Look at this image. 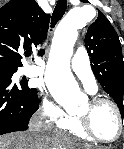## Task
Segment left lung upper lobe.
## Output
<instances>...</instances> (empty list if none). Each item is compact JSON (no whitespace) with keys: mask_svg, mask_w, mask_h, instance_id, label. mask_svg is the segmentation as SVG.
Segmentation results:
<instances>
[{"mask_svg":"<svg viewBox=\"0 0 124 149\" xmlns=\"http://www.w3.org/2000/svg\"><path fill=\"white\" fill-rule=\"evenodd\" d=\"M85 46L92 71L102 88L113 98L123 117L124 61L119 37L102 12L88 27Z\"/></svg>","mask_w":124,"mask_h":149,"instance_id":"1","label":"left lung upper lobe"}]
</instances>
